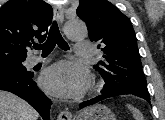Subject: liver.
I'll list each match as a JSON object with an SVG mask.
<instances>
[{"label": "liver", "instance_id": "liver-1", "mask_svg": "<svg viewBox=\"0 0 165 120\" xmlns=\"http://www.w3.org/2000/svg\"><path fill=\"white\" fill-rule=\"evenodd\" d=\"M38 113L16 95L0 91V120H37Z\"/></svg>", "mask_w": 165, "mask_h": 120}]
</instances>
